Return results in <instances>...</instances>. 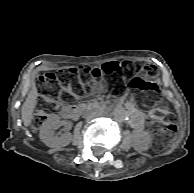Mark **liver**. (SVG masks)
Instances as JSON below:
<instances>
[{
  "label": "liver",
  "instance_id": "1",
  "mask_svg": "<svg viewBox=\"0 0 194 193\" xmlns=\"http://www.w3.org/2000/svg\"><path fill=\"white\" fill-rule=\"evenodd\" d=\"M37 97H38V91L35 86L34 80H32L31 89L21 108L22 121L26 127H28L32 122L33 111L37 104Z\"/></svg>",
  "mask_w": 194,
  "mask_h": 193
}]
</instances>
